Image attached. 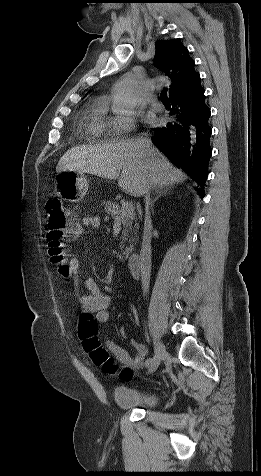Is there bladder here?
Segmentation results:
<instances>
[{
  "label": "bladder",
  "mask_w": 261,
  "mask_h": 476,
  "mask_svg": "<svg viewBox=\"0 0 261 476\" xmlns=\"http://www.w3.org/2000/svg\"><path fill=\"white\" fill-rule=\"evenodd\" d=\"M115 403L124 409H152L159 402L155 392L141 391L127 386H117L113 390Z\"/></svg>",
  "instance_id": "1"
}]
</instances>
